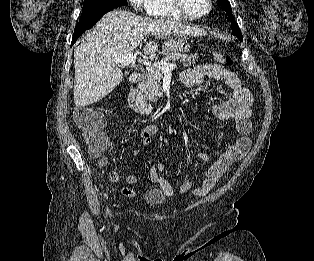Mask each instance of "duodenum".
I'll return each mask as SVG.
<instances>
[{
    "label": "duodenum",
    "mask_w": 314,
    "mask_h": 261,
    "mask_svg": "<svg viewBox=\"0 0 314 261\" xmlns=\"http://www.w3.org/2000/svg\"><path fill=\"white\" fill-rule=\"evenodd\" d=\"M144 80V74L140 72L133 73L130 77L129 103L133 111L143 116L153 114L151 105L145 100L141 89Z\"/></svg>",
    "instance_id": "duodenum-1"
}]
</instances>
